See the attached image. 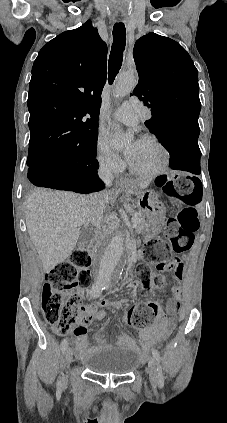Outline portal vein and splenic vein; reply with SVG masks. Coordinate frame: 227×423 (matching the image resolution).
Masks as SVG:
<instances>
[{"label":"portal vein and splenic vein","mask_w":227,"mask_h":423,"mask_svg":"<svg viewBox=\"0 0 227 423\" xmlns=\"http://www.w3.org/2000/svg\"><path fill=\"white\" fill-rule=\"evenodd\" d=\"M132 221H133V223H136L137 217H132Z\"/></svg>","instance_id":"18ae733b"}]
</instances>
